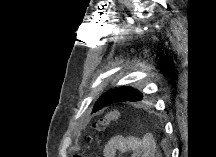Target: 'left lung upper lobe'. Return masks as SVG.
Returning a JSON list of instances; mask_svg holds the SVG:
<instances>
[{"instance_id": "left-lung-upper-lobe-1", "label": "left lung upper lobe", "mask_w": 216, "mask_h": 157, "mask_svg": "<svg viewBox=\"0 0 216 157\" xmlns=\"http://www.w3.org/2000/svg\"><path fill=\"white\" fill-rule=\"evenodd\" d=\"M144 96L143 94L133 88V87H127L122 86L115 89H112L105 94H103L98 100L97 104L93 108V112H95V109L98 107V109H102L106 106L118 103V102H137L143 100Z\"/></svg>"}]
</instances>
